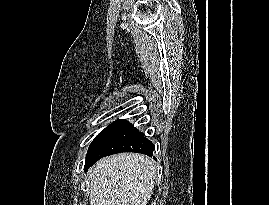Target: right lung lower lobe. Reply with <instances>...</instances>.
<instances>
[{
	"mask_svg": "<svg viewBox=\"0 0 269 205\" xmlns=\"http://www.w3.org/2000/svg\"><path fill=\"white\" fill-rule=\"evenodd\" d=\"M153 143L138 132L125 119L107 126L90 144L85 161V171L102 157L121 153L136 152L153 155Z\"/></svg>",
	"mask_w": 269,
	"mask_h": 205,
	"instance_id": "1",
	"label": "right lung lower lobe"
}]
</instances>
